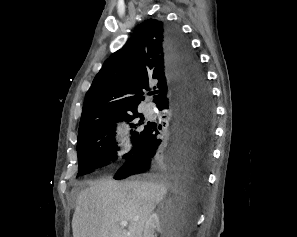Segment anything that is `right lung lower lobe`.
<instances>
[{
	"mask_svg": "<svg viewBox=\"0 0 297 237\" xmlns=\"http://www.w3.org/2000/svg\"><path fill=\"white\" fill-rule=\"evenodd\" d=\"M165 46L172 89L157 107L166 110L168 131L160 139L156 124H151L145 139L116 172V180L142 173H207L214 117L210 89L188 40L177 26L166 24Z\"/></svg>",
	"mask_w": 297,
	"mask_h": 237,
	"instance_id": "98d812e1",
	"label": "right lung lower lobe"
}]
</instances>
